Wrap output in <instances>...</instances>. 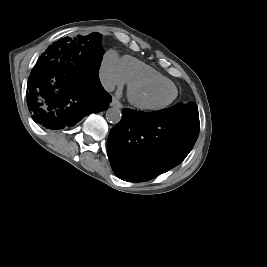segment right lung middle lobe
Segmentation results:
<instances>
[{
    "label": "right lung middle lobe",
    "instance_id": "dd1d6c3e",
    "mask_svg": "<svg viewBox=\"0 0 267 267\" xmlns=\"http://www.w3.org/2000/svg\"><path fill=\"white\" fill-rule=\"evenodd\" d=\"M65 39L66 41H57L54 45L50 46L48 50H51L52 48L61 44H67L73 47L75 50L89 56L91 59L101 63L104 50L100 45L101 35L99 33H92L91 35L87 36H79L75 40H71V38L68 37Z\"/></svg>",
    "mask_w": 267,
    "mask_h": 267
}]
</instances>
